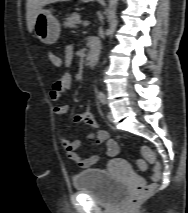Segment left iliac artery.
I'll return each mask as SVG.
<instances>
[{
	"instance_id": "44dca946",
	"label": "left iliac artery",
	"mask_w": 188,
	"mask_h": 213,
	"mask_svg": "<svg viewBox=\"0 0 188 213\" xmlns=\"http://www.w3.org/2000/svg\"><path fill=\"white\" fill-rule=\"evenodd\" d=\"M100 101L103 103V104H106V99L104 97H101L100 98Z\"/></svg>"
}]
</instances>
